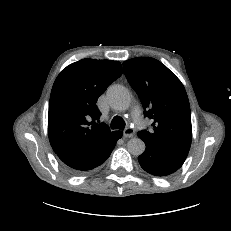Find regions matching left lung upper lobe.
<instances>
[{
  "instance_id": "obj_1",
  "label": "left lung upper lobe",
  "mask_w": 231,
  "mask_h": 231,
  "mask_svg": "<svg viewBox=\"0 0 231 231\" xmlns=\"http://www.w3.org/2000/svg\"><path fill=\"white\" fill-rule=\"evenodd\" d=\"M128 82L138 94L153 131L138 132L151 144L189 151L192 140L189 100L181 81L160 61L150 57L123 63Z\"/></svg>"
}]
</instances>
